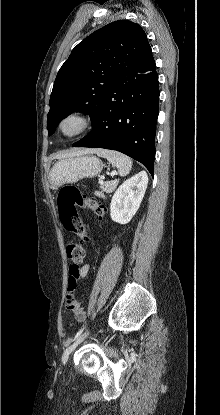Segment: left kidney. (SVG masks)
<instances>
[{
  "label": "left kidney",
  "mask_w": 220,
  "mask_h": 415,
  "mask_svg": "<svg viewBox=\"0 0 220 415\" xmlns=\"http://www.w3.org/2000/svg\"><path fill=\"white\" fill-rule=\"evenodd\" d=\"M148 184V175L141 171L126 180L114 193L110 216L114 222L127 224L139 209Z\"/></svg>",
  "instance_id": "left-kidney-1"
}]
</instances>
